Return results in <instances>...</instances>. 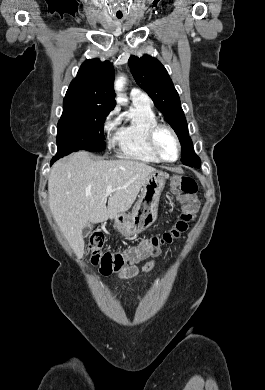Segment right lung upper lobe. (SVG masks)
Segmentation results:
<instances>
[{
  "label": "right lung upper lobe",
  "instance_id": "cb5924a9",
  "mask_svg": "<svg viewBox=\"0 0 265 390\" xmlns=\"http://www.w3.org/2000/svg\"><path fill=\"white\" fill-rule=\"evenodd\" d=\"M114 68L109 61L98 58L82 63L72 80L63 104H86L112 110L115 105L113 89Z\"/></svg>",
  "mask_w": 265,
  "mask_h": 390
}]
</instances>
